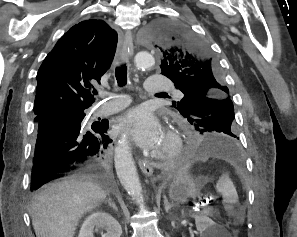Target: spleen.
Instances as JSON below:
<instances>
[{"instance_id":"spleen-1","label":"spleen","mask_w":297,"mask_h":237,"mask_svg":"<svg viewBox=\"0 0 297 237\" xmlns=\"http://www.w3.org/2000/svg\"><path fill=\"white\" fill-rule=\"evenodd\" d=\"M190 167V164H187L179 172L184 173ZM216 191L223 196L224 208L226 211H230L233 208V204L238 201L237 191L233 185V182L229 178L228 174L223 173L219 180L216 183Z\"/></svg>"}]
</instances>
